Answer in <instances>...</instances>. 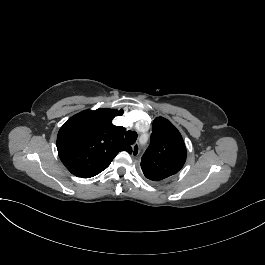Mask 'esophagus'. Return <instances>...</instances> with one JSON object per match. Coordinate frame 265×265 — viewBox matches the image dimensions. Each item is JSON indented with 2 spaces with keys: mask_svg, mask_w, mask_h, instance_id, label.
<instances>
[{
  "mask_svg": "<svg viewBox=\"0 0 265 265\" xmlns=\"http://www.w3.org/2000/svg\"><path fill=\"white\" fill-rule=\"evenodd\" d=\"M139 155V143H134L132 145V156L136 157Z\"/></svg>",
  "mask_w": 265,
  "mask_h": 265,
  "instance_id": "34e87169",
  "label": "esophagus"
}]
</instances>
